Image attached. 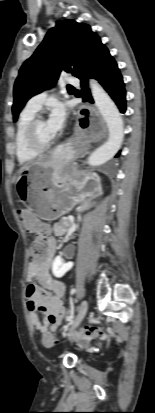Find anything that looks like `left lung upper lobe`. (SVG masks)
Returning a JSON list of instances; mask_svg holds the SVG:
<instances>
[{
    "instance_id": "obj_1",
    "label": "left lung upper lobe",
    "mask_w": 155,
    "mask_h": 413,
    "mask_svg": "<svg viewBox=\"0 0 155 413\" xmlns=\"http://www.w3.org/2000/svg\"><path fill=\"white\" fill-rule=\"evenodd\" d=\"M105 47L89 25L60 20L19 70L14 84L13 120L32 96L56 84L62 71L80 78ZM69 55L65 59L63 56Z\"/></svg>"
}]
</instances>
